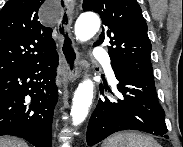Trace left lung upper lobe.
Wrapping results in <instances>:
<instances>
[{
  "instance_id": "5c2ea615",
  "label": "left lung upper lobe",
  "mask_w": 183,
  "mask_h": 147,
  "mask_svg": "<svg viewBox=\"0 0 183 147\" xmlns=\"http://www.w3.org/2000/svg\"><path fill=\"white\" fill-rule=\"evenodd\" d=\"M83 10L101 16L103 30L94 46L110 43L112 65L154 78L147 24L136 0H83Z\"/></svg>"
}]
</instances>
